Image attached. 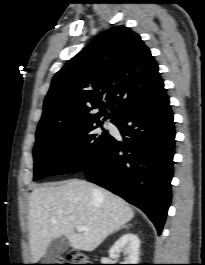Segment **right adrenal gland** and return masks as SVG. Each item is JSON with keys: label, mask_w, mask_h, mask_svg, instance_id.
I'll return each instance as SVG.
<instances>
[{"label": "right adrenal gland", "mask_w": 205, "mask_h": 265, "mask_svg": "<svg viewBox=\"0 0 205 265\" xmlns=\"http://www.w3.org/2000/svg\"><path fill=\"white\" fill-rule=\"evenodd\" d=\"M129 226H130V224H129V225L122 226V227H120L119 229H122V228H128ZM119 229H117L116 231H118Z\"/></svg>", "instance_id": "obj_1"}]
</instances>
